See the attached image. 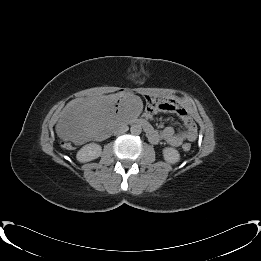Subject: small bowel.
Instances as JSON below:
<instances>
[{
  "label": "small bowel",
  "mask_w": 261,
  "mask_h": 261,
  "mask_svg": "<svg viewBox=\"0 0 261 261\" xmlns=\"http://www.w3.org/2000/svg\"><path fill=\"white\" fill-rule=\"evenodd\" d=\"M148 103L152 112H165L177 115L186 127L184 132H177L173 127L168 126L162 130H156L153 128L149 133V139L153 143H158L163 140L171 146H180L185 141L194 142L197 139V125L191 115L188 108L175 99L160 97V96H149Z\"/></svg>",
  "instance_id": "obj_1"
}]
</instances>
